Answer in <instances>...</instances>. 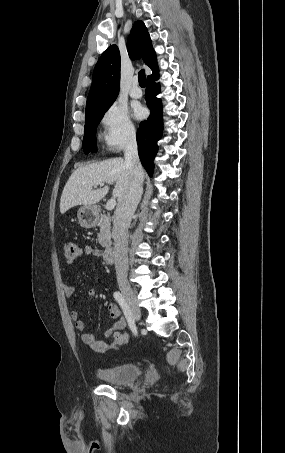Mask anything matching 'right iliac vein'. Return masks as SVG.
I'll use <instances>...</instances> for the list:
<instances>
[{"label":"right iliac vein","mask_w":285,"mask_h":453,"mask_svg":"<svg viewBox=\"0 0 285 453\" xmlns=\"http://www.w3.org/2000/svg\"><path fill=\"white\" fill-rule=\"evenodd\" d=\"M119 288L129 305L133 318L137 321L140 320L141 311L131 286L127 282H120Z\"/></svg>","instance_id":"right-iliac-vein-1"}]
</instances>
